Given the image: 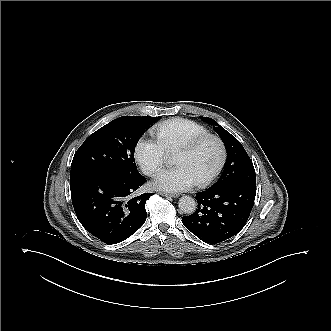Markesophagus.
Returning a JSON list of instances; mask_svg holds the SVG:
<instances>
[{
    "label": "esophagus",
    "instance_id": "obj_1",
    "mask_svg": "<svg viewBox=\"0 0 331 331\" xmlns=\"http://www.w3.org/2000/svg\"><path fill=\"white\" fill-rule=\"evenodd\" d=\"M161 195L176 198V197L179 196V193H167V192H166V193H161Z\"/></svg>",
    "mask_w": 331,
    "mask_h": 331
}]
</instances>
